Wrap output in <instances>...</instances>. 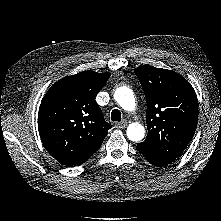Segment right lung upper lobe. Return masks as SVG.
<instances>
[{
	"mask_svg": "<svg viewBox=\"0 0 221 221\" xmlns=\"http://www.w3.org/2000/svg\"><path fill=\"white\" fill-rule=\"evenodd\" d=\"M110 73L84 71L57 81L44 96L38 130L46 150L66 166L85 163L112 127L95 101Z\"/></svg>",
	"mask_w": 221,
	"mask_h": 221,
	"instance_id": "right-lung-upper-lobe-1",
	"label": "right lung upper lobe"
}]
</instances>
